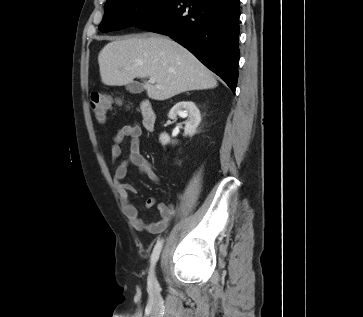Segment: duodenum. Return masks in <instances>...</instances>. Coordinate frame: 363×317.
Masks as SVG:
<instances>
[{
  "label": "duodenum",
  "mask_w": 363,
  "mask_h": 317,
  "mask_svg": "<svg viewBox=\"0 0 363 317\" xmlns=\"http://www.w3.org/2000/svg\"><path fill=\"white\" fill-rule=\"evenodd\" d=\"M140 108L143 119V126L147 130L153 131L156 125V113L153 106L150 102L143 101Z\"/></svg>",
  "instance_id": "410a0bca"
}]
</instances>
